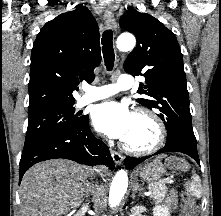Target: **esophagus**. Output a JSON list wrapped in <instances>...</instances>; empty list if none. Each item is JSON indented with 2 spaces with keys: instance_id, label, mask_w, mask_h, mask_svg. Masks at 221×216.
<instances>
[{
  "instance_id": "1",
  "label": "esophagus",
  "mask_w": 221,
  "mask_h": 216,
  "mask_svg": "<svg viewBox=\"0 0 221 216\" xmlns=\"http://www.w3.org/2000/svg\"><path fill=\"white\" fill-rule=\"evenodd\" d=\"M104 21L109 28H116V21L111 11H106L104 13ZM111 156L116 164H120L123 161V156L114 150H111Z\"/></svg>"
}]
</instances>
